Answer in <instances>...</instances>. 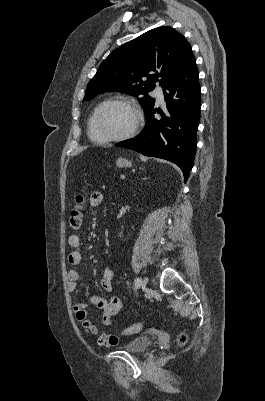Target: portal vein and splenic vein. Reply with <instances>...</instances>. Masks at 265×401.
<instances>
[{"mask_svg":"<svg viewBox=\"0 0 265 401\" xmlns=\"http://www.w3.org/2000/svg\"><path fill=\"white\" fill-rule=\"evenodd\" d=\"M119 180H120V181H124V180H125V177H124L123 174H120V175H119Z\"/></svg>","mask_w":265,"mask_h":401,"instance_id":"1","label":"portal vein and splenic vein"}]
</instances>
